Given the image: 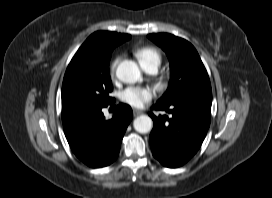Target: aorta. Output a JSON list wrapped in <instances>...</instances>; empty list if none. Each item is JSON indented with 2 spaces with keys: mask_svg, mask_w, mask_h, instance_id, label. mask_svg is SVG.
<instances>
[{
  "mask_svg": "<svg viewBox=\"0 0 272 198\" xmlns=\"http://www.w3.org/2000/svg\"><path fill=\"white\" fill-rule=\"evenodd\" d=\"M116 75L125 83H136L142 78L138 65L131 60L122 61L117 67ZM133 126L139 133H148L153 127V121L149 116L141 115L134 120Z\"/></svg>",
  "mask_w": 272,
  "mask_h": 198,
  "instance_id": "aorta-1",
  "label": "aorta"
}]
</instances>
